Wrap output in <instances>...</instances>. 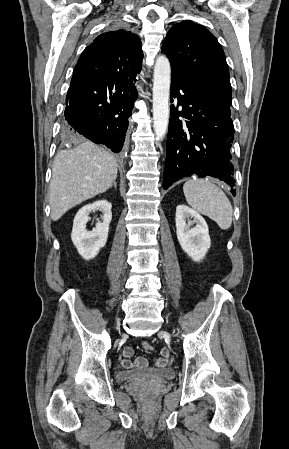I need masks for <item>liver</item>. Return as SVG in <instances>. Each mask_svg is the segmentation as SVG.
Listing matches in <instances>:
<instances>
[{"mask_svg":"<svg viewBox=\"0 0 289 449\" xmlns=\"http://www.w3.org/2000/svg\"><path fill=\"white\" fill-rule=\"evenodd\" d=\"M117 170L114 156L89 141L59 152L53 161L49 190L52 220H59L69 209L107 191Z\"/></svg>","mask_w":289,"mask_h":449,"instance_id":"liver-1","label":"liver"}]
</instances>
